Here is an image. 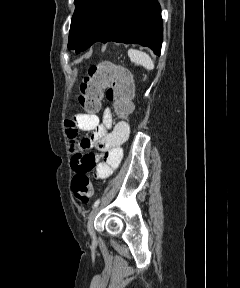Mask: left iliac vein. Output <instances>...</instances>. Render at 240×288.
<instances>
[{
    "instance_id": "left-iliac-vein-1",
    "label": "left iliac vein",
    "mask_w": 240,
    "mask_h": 288,
    "mask_svg": "<svg viewBox=\"0 0 240 288\" xmlns=\"http://www.w3.org/2000/svg\"><path fill=\"white\" fill-rule=\"evenodd\" d=\"M98 212H99V206L95 207L91 211L89 218H88L87 228L92 238H95V230H94L93 222Z\"/></svg>"
}]
</instances>
